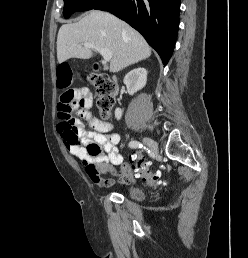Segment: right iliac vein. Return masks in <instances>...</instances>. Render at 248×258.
<instances>
[{"label":"right iliac vein","instance_id":"right-iliac-vein-1","mask_svg":"<svg viewBox=\"0 0 248 258\" xmlns=\"http://www.w3.org/2000/svg\"><path fill=\"white\" fill-rule=\"evenodd\" d=\"M142 141L150 147L152 153L154 156H157L159 153L158 145L157 143L150 137H143Z\"/></svg>","mask_w":248,"mask_h":258}]
</instances>
